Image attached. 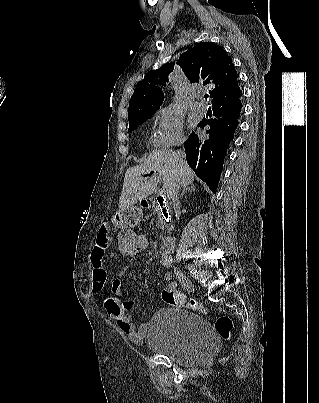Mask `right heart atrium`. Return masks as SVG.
Here are the masks:
<instances>
[{"instance_id": "1", "label": "right heart atrium", "mask_w": 319, "mask_h": 403, "mask_svg": "<svg viewBox=\"0 0 319 403\" xmlns=\"http://www.w3.org/2000/svg\"><path fill=\"white\" fill-rule=\"evenodd\" d=\"M151 143L156 148L179 145L184 140L183 120L173 107H161L153 116Z\"/></svg>"}]
</instances>
